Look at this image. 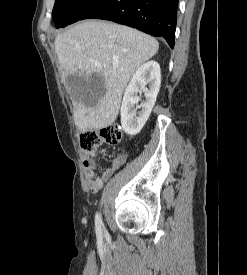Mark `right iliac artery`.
Segmentation results:
<instances>
[{
	"mask_svg": "<svg viewBox=\"0 0 247 275\" xmlns=\"http://www.w3.org/2000/svg\"><path fill=\"white\" fill-rule=\"evenodd\" d=\"M102 219L100 214L96 213L95 216V229H96V234L97 236H101L102 235Z\"/></svg>",
	"mask_w": 247,
	"mask_h": 275,
	"instance_id": "1",
	"label": "right iliac artery"
}]
</instances>
